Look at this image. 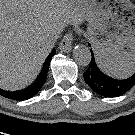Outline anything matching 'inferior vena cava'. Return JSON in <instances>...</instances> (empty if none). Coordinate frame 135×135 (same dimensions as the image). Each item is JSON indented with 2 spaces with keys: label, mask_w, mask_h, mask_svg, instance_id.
<instances>
[{
  "label": "inferior vena cava",
  "mask_w": 135,
  "mask_h": 135,
  "mask_svg": "<svg viewBox=\"0 0 135 135\" xmlns=\"http://www.w3.org/2000/svg\"><path fill=\"white\" fill-rule=\"evenodd\" d=\"M60 37L59 33H55L54 35L50 36L48 39V45L53 47L54 43L57 41V39Z\"/></svg>",
  "instance_id": "obj_1"
}]
</instances>
